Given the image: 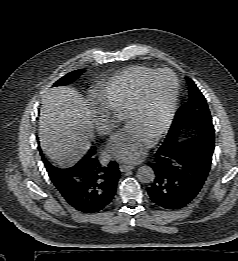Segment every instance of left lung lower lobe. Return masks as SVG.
<instances>
[{"instance_id": "left-lung-lower-lobe-1", "label": "left lung lower lobe", "mask_w": 238, "mask_h": 261, "mask_svg": "<svg viewBox=\"0 0 238 261\" xmlns=\"http://www.w3.org/2000/svg\"><path fill=\"white\" fill-rule=\"evenodd\" d=\"M214 129L203 127L198 138L186 143L161 146L151 165L155 180L148 190L158 206L176 210L200 192L211 167Z\"/></svg>"}]
</instances>
